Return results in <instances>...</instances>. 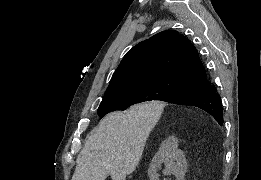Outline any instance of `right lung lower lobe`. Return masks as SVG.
<instances>
[{"mask_svg":"<svg viewBox=\"0 0 261 180\" xmlns=\"http://www.w3.org/2000/svg\"><path fill=\"white\" fill-rule=\"evenodd\" d=\"M200 85L199 90L177 96L168 102L198 107L209 113L219 125H222L223 106L217 88L208 78L200 83Z\"/></svg>","mask_w":261,"mask_h":180,"instance_id":"1","label":"right lung lower lobe"}]
</instances>
